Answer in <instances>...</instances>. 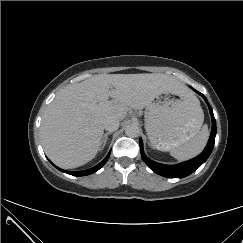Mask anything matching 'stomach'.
<instances>
[{"mask_svg": "<svg viewBox=\"0 0 243 243\" xmlns=\"http://www.w3.org/2000/svg\"><path fill=\"white\" fill-rule=\"evenodd\" d=\"M199 108V100L190 92L156 97L145 112V129L152 146L168 151L193 138L203 121Z\"/></svg>", "mask_w": 243, "mask_h": 243, "instance_id": "obj_1", "label": "stomach"}]
</instances>
